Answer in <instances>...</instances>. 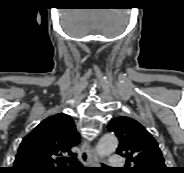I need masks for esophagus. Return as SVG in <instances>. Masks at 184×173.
Here are the masks:
<instances>
[{
  "label": "esophagus",
  "mask_w": 184,
  "mask_h": 173,
  "mask_svg": "<svg viewBox=\"0 0 184 173\" xmlns=\"http://www.w3.org/2000/svg\"><path fill=\"white\" fill-rule=\"evenodd\" d=\"M96 151L95 148L87 141L81 146L80 161L84 166H93L95 164Z\"/></svg>",
  "instance_id": "1"
}]
</instances>
